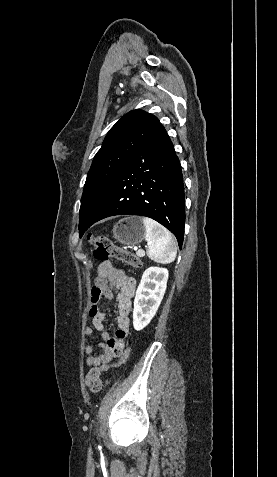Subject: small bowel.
<instances>
[{
    "instance_id": "1",
    "label": "small bowel",
    "mask_w": 277,
    "mask_h": 477,
    "mask_svg": "<svg viewBox=\"0 0 277 477\" xmlns=\"http://www.w3.org/2000/svg\"><path fill=\"white\" fill-rule=\"evenodd\" d=\"M113 290L118 292L117 330L115 336H111L105 329L104 320L106 314L98 307L101 297L113 298ZM135 290L136 280L133 277L114 268L109 260L100 263L98 276L91 290L89 302V316L92 319L93 328L87 327L84 330V336L86 338L91 337L95 329L100 331L103 342L98 344V348L101 350L100 354L96 352L92 345L85 344L84 352L87 354V366L98 368L100 372H105L126 361L129 354V315ZM114 357H120L119 363L111 364V360Z\"/></svg>"
}]
</instances>
